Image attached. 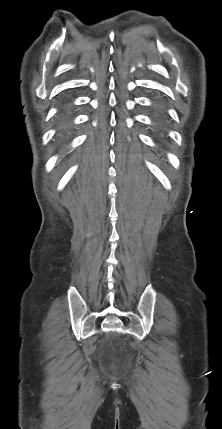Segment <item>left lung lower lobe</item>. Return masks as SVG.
Wrapping results in <instances>:
<instances>
[{
    "instance_id": "1",
    "label": "left lung lower lobe",
    "mask_w": 222,
    "mask_h": 429,
    "mask_svg": "<svg viewBox=\"0 0 222 429\" xmlns=\"http://www.w3.org/2000/svg\"><path fill=\"white\" fill-rule=\"evenodd\" d=\"M156 103H157V106L155 107V121L157 123V130L160 133H164L167 121H166L164 110L161 107L163 105V102L161 99H157Z\"/></svg>"
}]
</instances>
